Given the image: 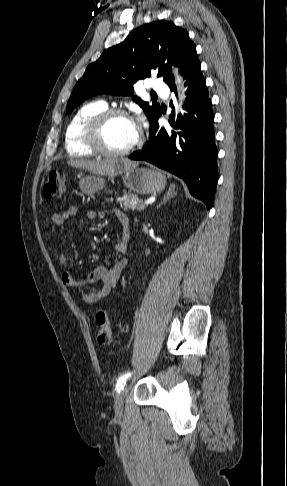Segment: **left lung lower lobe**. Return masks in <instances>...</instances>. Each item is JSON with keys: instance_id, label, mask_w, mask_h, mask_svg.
I'll list each match as a JSON object with an SVG mask.
<instances>
[{"instance_id": "1", "label": "left lung lower lobe", "mask_w": 287, "mask_h": 486, "mask_svg": "<svg viewBox=\"0 0 287 486\" xmlns=\"http://www.w3.org/2000/svg\"><path fill=\"white\" fill-rule=\"evenodd\" d=\"M181 74L188 86L183 106L186 113L178 115L175 122L173 111L169 119L172 130H166L158 124L160 112L150 124L149 141L129 158L150 162L179 176L190 193L204 201L209 209L218 181L212 104L198 57ZM168 86L177 92L174 81Z\"/></svg>"}]
</instances>
